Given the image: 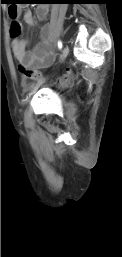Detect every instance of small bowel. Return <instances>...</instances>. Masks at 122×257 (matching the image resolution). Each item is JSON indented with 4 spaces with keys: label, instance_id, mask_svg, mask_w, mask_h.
<instances>
[{
    "label": "small bowel",
    "instance_id": "1",
    "mask_svg": "<svg viewBox=\"0 0 122 257\" xmlns=\"http://www.w3.org/2000/svg\"><path fill=\"white\" fill-rule=\"evenodd\" d=\"M22 10L23 8H18V13ZM48 11L49 9L45 5L37 6L35 15L30 10L24 9L23 20L28 26H34L36 19L44 21L47 18ZM27 46L28 41L26 39L13 38L11 41L14 56L22 66L36 70L49 67L53 62L50 25L45 24L41 28L40 41L33 50H28Z\"/></svg>",
    "mask_w": 122,
    "mask_h": 257
}]
</instances>
